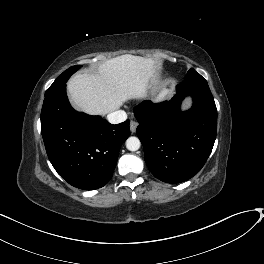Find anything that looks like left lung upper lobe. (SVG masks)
Instances as JSON below:
<instances>
[{
	"mask_svg": "<svg viewBox=\"0 0 264 264\" xmlns=\"http://www.w3.org/2000/svg\"><path fill=\"white\" fill-rule=\"evenodd\" d=\"M184 81H206L199 73H197L193 68H191L187 75L185 76Z\"/></svg>",
	"mask_w": 264,
	"mask_h": 264,
	"instance_id": "5c2ea615",
	"label": "left lung upper lobe"
}]
</instances>
